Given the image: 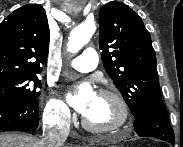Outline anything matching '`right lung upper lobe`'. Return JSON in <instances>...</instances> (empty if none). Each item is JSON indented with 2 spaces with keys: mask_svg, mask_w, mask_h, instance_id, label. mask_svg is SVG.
I'll return each instance as SVG.
<instances>
[{
  "mask_svg": "<svg viewBox=\"0 0 183 147\" xmlns=\"http://www.w3.org/2000/svg\"><path fill=\"white\" fill-rule=\"evenodd\" d=\"M50 31L45 10L25 5L0 24V79L38 74L47 59Z\"/></svg>",
  "mask_w": 183,
  "mask_h": 147,
  "instance_id": "cb5924a9",
  "label": "right lung upper lobe"
}]
</instances>
